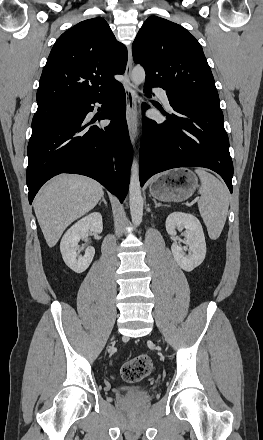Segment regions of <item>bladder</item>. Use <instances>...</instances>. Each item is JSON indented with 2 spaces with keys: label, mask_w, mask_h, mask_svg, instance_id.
Here are the masks:
<instances>
[{
  "label": "bladder",
  "mask_w": 263,
  "mask_h": 440,
  "mask_svg": "<svg viewBox=\"0 0 263 440\" xmlns=\"http://www.w3.org/2000/svg\"><path fill=\"white\" fill-rule=\"evenodd\" d=\"M142 389L141 387L137 386H124V387H118L114 389V392L116 394H126V393H138Z\"/></svg>",
  "instance_id": "1"
}]
</instances>
